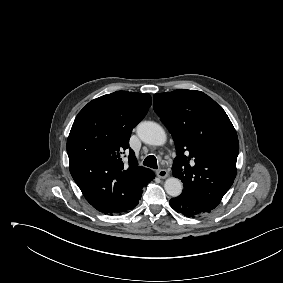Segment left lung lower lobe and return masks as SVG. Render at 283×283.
Instances as JSON below:
<instances>
[{"label": "left lung lower lobe", "instance_id": "left-lung-lower-lobe-1", "mask_svg": "<svg viewBox=\"0 0 283 283\" xmlns=\"http://www.w3.org/2000/svg\"><path fill=\"white\" fill-rule=\"evenodd\" d=\"M169 204L176 212L186 217L203 215L214 209L198 196L184 191L180 196L172 198Z\"/></svg>", "mask_w": 283, "mask_h": 283}]
</instances>
